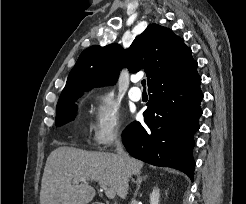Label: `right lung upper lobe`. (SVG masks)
<instances>
[{
    "mask_svg": "<svg viewBox=\"0 0 246 204\" xmlns=\"http://www.w3.org/2000/svg\"><path fill=\"white\" fill-rule=\"evenodd\" d=\"M193 62L191 49L183 39L166 27L150 24L125 51L118 44L95 45L84 50L71 70L59 100L81 96L94 87L115 84L124 65L130 72L144 68L149 86Z\"/></svg>",
    "mask_w": 246,
    "mask_h": 204,
    "instance_id": "cb5924a9",
    "label": "right lung upper lobe"
}]
</instances>
